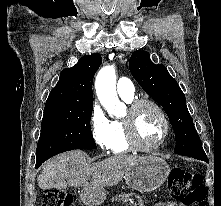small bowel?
<instances>
[{
  "instance_id": "1",
  "label": "small bowel",
  "mask_w": 221,
  "mask_h": 206,
  "mask_svg": "<svg viewBox=\"0 0 221 206\" xmlns=\"http://www.w3.org/2000/svg\"><path fill=\"white\" fill-rule=\"evenodd\" d=\"M155 206H182V205L170 202V203H159L156 204Z\"/></svg>"
}]
</instances>
